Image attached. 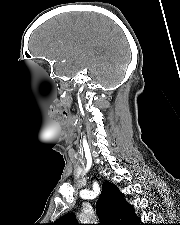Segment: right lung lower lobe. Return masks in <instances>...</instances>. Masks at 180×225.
Listing matches in <instances>:
<instances>
[{
	"instance_id": "1",
	"label": "right lung lower lobe",
	"mask_w": 180,
	"mask_h": 225,
	"mask_svg": "<svg viewBox=\"0 0 180 225\" xmlns=\"http://www.w3.org/2000/svg\"><path fill=\"white\" fill-rule=\"evenodd\" d=\"M132 225H143L138 222V219Z\"/></svg>"
}]
</instances>
